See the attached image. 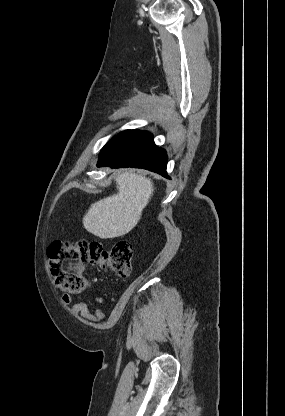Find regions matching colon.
<instances>
[{
  "label": "colon",
  "instance_id": "5ec220e1",
  "mask_svg": "<svg viewBox=\"0 0 285 416\" xmlns=\"http://www.w3.org/2000/svg\"><path fill=\"white\" fill-rule=\"evenodd\" d=\"M132 255V245L127 241H117L109 248L83 240L55 241L48 249L55 284L68 293L84 290L86 281L82 273L86 263L98 265L121 278H127L131 273Z\"/></svg>",
  "mask_w": 285,
  "mask_h": 416
}]
</instances>
